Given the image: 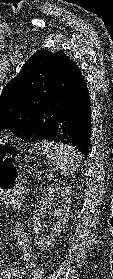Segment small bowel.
<instances>
[{"mask_svg":"<svg viewBox=\"0 0 113 279\" xmlns=\"http://www.w3.org/2000/svg\"><path fill=\"white\" fill-rule=\"evenodd\" d=\"M0 199L14 207L22 205L21 197L14 194L0 193ZM14 235L16 246L20 252V258L25 266L6 269L0 262V279H24L27 271L33 270L36 266V261L31 251L30 236L23 229L22 224H15Z\"/></svg>","mask_w":113,"mask_h":279,"instance_id":"1","label":"small bowel"}]
</instances>
